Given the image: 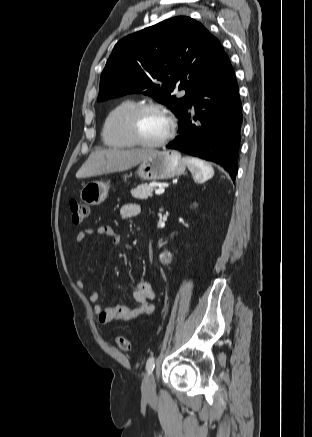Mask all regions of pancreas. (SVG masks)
<instances>
[{"mask_svg": "<svg viewBox=\"0 0 312 437\" xmlns=\"http://www.w3.org/2000/svg\"><path fill=\"white\" fill-rule=\"evenodd\" d=\"M154 186H148L147 184H141L137 188L131 191L133 197L137 199H148L153 195Z\"/></svg>", "mask_w": 312, "mask_h": 437, "instance_id": "pancreas-1", "label": "pancreas"}]
</instances>
